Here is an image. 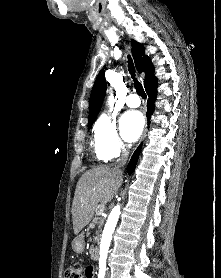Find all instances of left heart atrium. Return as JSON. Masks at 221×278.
<instances>
[{
	"label": "left heart atrium",
	"mask_w": 221,
	"mask_h": 278,
	"mask_svg": "<svg viewBox=\"0 0 221 278\" xmlns=\"http://www.w3.org/2000/svg\"><path fill=\"white\" fill-rule=\"evenodd\" d=\"M144 117L139 111H127L121 117V129L124 139L136 141L144 129Z\"/></svg>",
	"instance_id": "39dd6f15"
}]
</instances>
